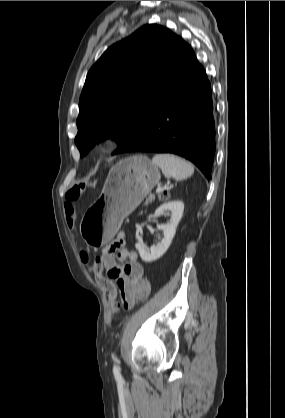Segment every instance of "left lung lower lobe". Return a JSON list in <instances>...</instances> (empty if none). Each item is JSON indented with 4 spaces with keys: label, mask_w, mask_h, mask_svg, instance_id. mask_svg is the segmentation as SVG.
Instances as JSON below:
<instances>
[{
    "label": "left lung lower lobe",
    "mask_w": 285,
    "mask_h": 418,
    "mask_svg": "<svg viewBox=\"0 0 285 418\" xmlns=\"http://www.w3.org/2000/svg\"><path fill=\"white\" fill-rule=\"evenodd\" d=\"M138 151L180 155L211 178L215 153L212 89L186 42L141 134L125 152Z\"/></svg>",
    "instance_id": "obj_1"
}]
</instances>
